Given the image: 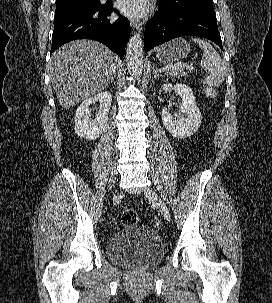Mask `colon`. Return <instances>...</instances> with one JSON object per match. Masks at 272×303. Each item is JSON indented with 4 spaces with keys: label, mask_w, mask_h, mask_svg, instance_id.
Wrapping results in <instances>:
<instances>
[{
    "label": "colon",
    "mask_w": 272,
    "mask_h": 303,
    "mask_svg": "<svg viewBox=\"0 0 272 303\" xmlns=\"http://www.w3.org/2000/svg\"><path fill=\"white\" fill-rule=\"evenodd\" d=\"M121 221L126 226L135 225L138 222V215L134 210L127 209L122 213Z\"/></svg>",
    "instance_id": "obj_1"
}]
</instances>
